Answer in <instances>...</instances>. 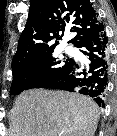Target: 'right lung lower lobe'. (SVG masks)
<instances>
[{
  "label": "right lung lower lobe",
  "mask_w": 117,
  "mask_h": 136,
  "mask_svg": "<svg viewBox=\"0 0 117 136\" xmlns=\"http://www.w3.org/2000/svg\"><path fill=\"white\" fill-rule=\"evenodd\" d=\"M108 39L103 24L86 36L76 47L87 56L88 63L70 59L65 67L43 82L39 88L78 92L92 97L100 107L105 106L104 97L109 78Z\"/></svg>",
  "instance_id": "1"
}]
</instances>
